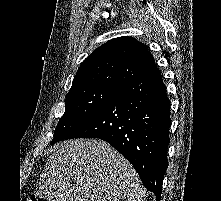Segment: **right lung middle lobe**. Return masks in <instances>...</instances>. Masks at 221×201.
Returning a JSON list of instances; mask_svg holds the SVG:
<instances>
[{
	"label": "right lung middle lobe",
	"mask_w": 221,
	"mask_h": 201,
	"mask_svg": "<svg viewBox=\"0 0 221 201\" xmlns=\"http://www.w3.org/2000/svg\"><path fill=\"white\" fill-rule=\"evenodd\" d=\"M118 91L115 88L102 86L69 91L65 100V113L58 122L51 145L66 139L74 130L104 106Z\"/></svg>",
	"instance_id": "dd1d6c3e"
}]
</instances>
